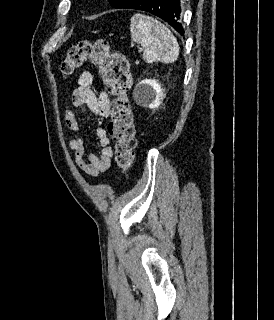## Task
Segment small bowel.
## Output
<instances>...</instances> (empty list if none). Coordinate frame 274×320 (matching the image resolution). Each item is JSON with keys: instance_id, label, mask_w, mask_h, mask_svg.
Listing matches in <instances>:
<instances>
[{"instance_id": "1", "label": "small bowel", "mask_w": 274, "mask_h": 320, "mask_svg": "<svg viewBox=\"0 0 274 320\" xmlns=\"http://www.w3.org/2000/svg\"><path fill=\"white\" fill-rule=\"evenodd\" d=\"M93 86V73L89 70L82 71L78 78V86L72 92L70 101L80 109H84L87 106L97 116L100 124L97 128V138L101 147L100 154L86 156L84 139L81 136L70 138L68 140V148L74 164L87 175L96 177L109 169L114 151L106 130L101 126L110 116L111 101L106 92H96ZM64 121L71 131H80L79 121L67 103L64 105Z\"/></svg>"}]
</instances>
